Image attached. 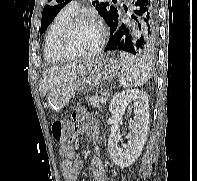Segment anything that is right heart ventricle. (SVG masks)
I'll use <instances>...</instances> for the list:
<instances>
[{"mask_svg": "<svg viewBox=\"0 0 197 181\" xmlns=\"http://www.w3.org/2000/svg\"><path fill=\"white\" fill-rule=\"evenodd\" d=\"M75 12L67 7L61 10L51 22L44 43V57L47 62L56 64L64 61L56 50V40L62 27L74 17Z\"/></svg>", "mask_w": 197, "mask_h": 181, "instance_id": "right-heart-ventricle-1", "label": "right heart ventricle"}]
</instances>
